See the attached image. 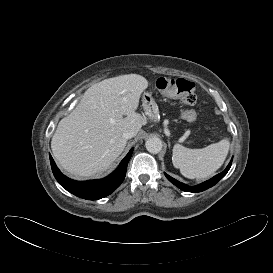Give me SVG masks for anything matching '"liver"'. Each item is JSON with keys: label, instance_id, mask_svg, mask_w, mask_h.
<instances>
[{"label": "liver", "instance_id": "obj_1", "mask_svg": "<svg viewBox=\"0 0 273 273\" xmlns=\"http://www.w3.org/2000/svg\"><path fill=\"white\" fill-rule=\"evenodd\" d=\"M147 87L148 81L137 74L91 86L52 137V152L60 166L75 178L108 169L127 144L123 132L133 130L137 135L145 123L136 110Z\"/></svg>", "mask_w": 273, "mask_h": 273}]
</instances>
